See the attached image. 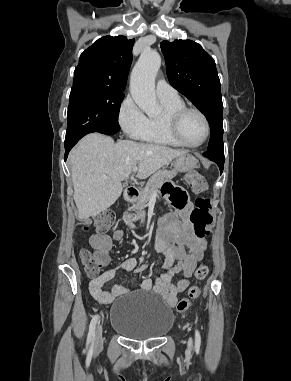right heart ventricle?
<instances>
[{
  "mask_svg": "<svg viewBox=\"0 0 291 381\" xmlns=\"http://www.w3.org/2000/svg\"><path fill=\"white\" fill-rule=\"evenodd\" d=\"M159 99L163 106V112L160 115L147 118L146 129L141 140L154 145L182 147L168 132L165 117L167 113L185 106V103L180 97Z\"/></svg>",
  "mask_w": 291,
  "mask_h": 381,
  "instance_id": "obj_1",
  "label": "right heart ventricle"
}]
</instances>
